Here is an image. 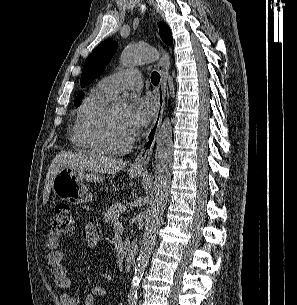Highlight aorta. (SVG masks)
<instances>
[{
  "mask_svg": "<svg viewBox=\"0 0 297 305\" xmlns=\"http://www.w3.org/2000/svg\"><path fill=\"white\" fill-rule=\"evenodd\" d=\"M158 58L159 53L156 49L150 46H128L121 54V63L123 66L131 67L139 64H148ZM114 106L122 108L124 102L118 100ZM172 152V126L170 120L167 118L163 121L157 132L155 180L150 195L149 208L145 218L146 224L143 239L140 245L129 291V295L133 297L137 295L139 284L149 262V257L151 256L156 244L159 225L170 190Z\"/></svg>",
  "mask_w": 297,
  "mask_h": 305,
  "instance_id": "762f6f07",
  "label": "aorta"
}]
</instances>
